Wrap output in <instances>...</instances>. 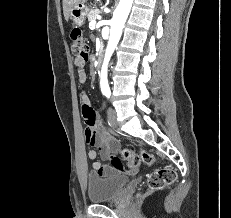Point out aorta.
<instances>
[{"instance_id":"aorta-1","label":"aorta","mask_w":231,"mask_h":218,"mask_svg":"<svg viewBox=\"0 0 231 218\" xmlns=\"http://www.w3.org/2000/svg\"><path fill=\"white\" fill-rule=\"evenodd\" d=\"M132 4H133V0H120L119 5L116 8L113 18L111 20L110 38L108 41V45L105 51V56L101 68L100 86L102 91H106L109 89L108 78H107L108 64L119 42L125 21L129 15Z\"/></svg>"}]
</instances>
